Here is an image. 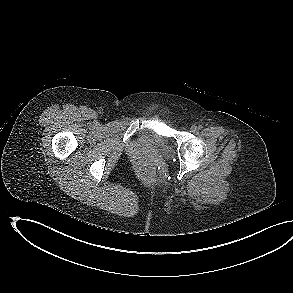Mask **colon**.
Here are the masks:
<instances>
[{
	"label": "colon",
	"instance_id": "5ec220e1",
	"mask_svg": "<svg viewBox=\"0 0 293 293\" xmlns=\"http://www.w3.org/2000/svg\"><path fill=\"white\" fill-rule=\"evenodd\" d=\"M145 175L148 177V178H151L153 175H154V171L152 168H148L145 170Z\"/></svg>",
	"mask_w": 293,
	"mask_h": 293
}]
</instances>
